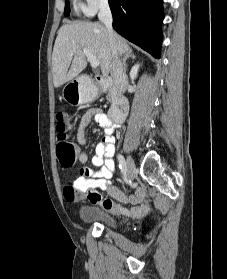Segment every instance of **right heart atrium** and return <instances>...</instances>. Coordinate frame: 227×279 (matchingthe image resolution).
Here are the masks:
<instances>
[{
    "instance_id": "1",
    "label": "right heart atrium",
    "mask_w": 227,
    "mask_h": 279,
    "mask_svg": "<svg viewBox=\"0 0 227 279\" xmlns=\"http://www.w3.org/2000/svg\"><path fill=\"white\" fill-rule=\"evenodd\" d=\"M77 7L86 15H93L99 9L106 6L108 0H77Z\"/></svg>"
}]
</instances>
